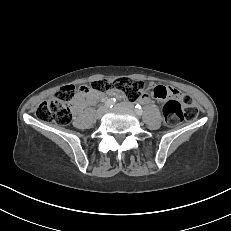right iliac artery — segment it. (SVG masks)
<instances>
[{
    "mask_svg": "<svg viewBox=\"0 0 231 231\" xmlns=\"http://www.w3.org/2000/svg\"><path fill=\"white\" fill-rule=\"evenodd\" d=\"M115 101H116L115 98L108 99V100L105 102V106L108 107V108H112L113 105L115 104Z\"/></svg>",
    "mask_w": 231,
    "mask_h": 231,
    "instance_id": "obj_1",
    "label": "right iliac artery"
}]
</instances>
